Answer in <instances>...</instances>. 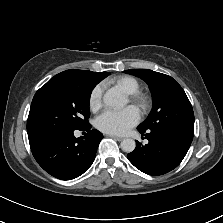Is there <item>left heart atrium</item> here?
<instances>
[{"label":"left heart atrium","instance_id":"1","mask_svg":"<svg viewBox=\"0 0 223 223\" xmlns=\"http://www.w3.org/2000/svg\"><path fill=\"white\" fill-rule=\"evenodd\" d=\"M140 120V114L136 107L128 106L123 110H105L96 119L97 127L110 134H125Z\"/></svg>","mask_w":223,"mask_h":223}]
</instances>
